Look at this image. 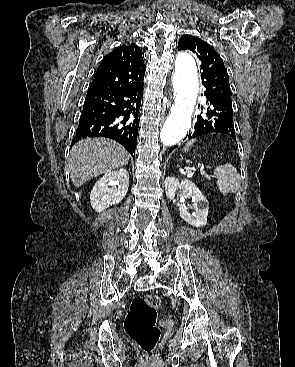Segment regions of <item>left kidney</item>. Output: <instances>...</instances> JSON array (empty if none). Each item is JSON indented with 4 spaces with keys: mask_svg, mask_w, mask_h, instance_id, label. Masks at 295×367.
I'll use <instances>...</instances> for the list:
<instances>
[{
    "mask_svg": "<svg viewBox=\"0 0 295 367\" xmlns=\"http://www.w3.org/2000/svg\"><path fill=\"white\" fill-rule=\"evenodd\" d=\"M165 192L168 199L173 200L178 188L182 189L185 198L191 197L193 204L190 208L194 210L193 214L188 212V207L179 204L181 218L194 227H203L207 224L209 203L199 188L190 180L185 179L179 182L174 177H167L164 181Z\"/></svg>",
    "mask_w": 295,
    "mask_h": 367,
    "instance_id": "1",
    "label": "left kidney"
}]
</instances>
